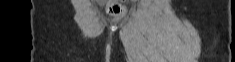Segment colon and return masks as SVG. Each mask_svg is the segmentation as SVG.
Segmentation results:
<instances>
[{"instance_id":"obj_1","label":"colon","mask_w":235,"mask_h":62,"mask_svg":"<svg viewBox=\"0 0 235 62\" xmlns=\"http://www.w3.org/2000/svg\"><path fill=\"white\" fill-rule=\"evenodd\" d=\"M106 10L113 19H119L126 13V8L122 0H108Z\"/></svg>"}]
</instances>
